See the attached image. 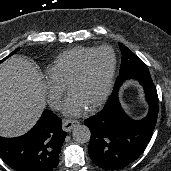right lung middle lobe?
<instances>
[{"instance_id": "obj_1", "label": "right lung middle lobe", "mask_w": 171, "mask_h": 171, "mask_svg": "<svg viewBox=\"0 0 171 171\" xmlns=\"http://www.w3.org/2000/svg\"><path fill=\"white\" fill-rule=\"evenodd\" d=\"M16 51H17V50L13 51V52H12L11 54H9L6 58H4L2 61H0V63L3 62V61H4L5 59H7L8 57H10L11 55L15 54Z\"/></svg>"}]
</instances>
